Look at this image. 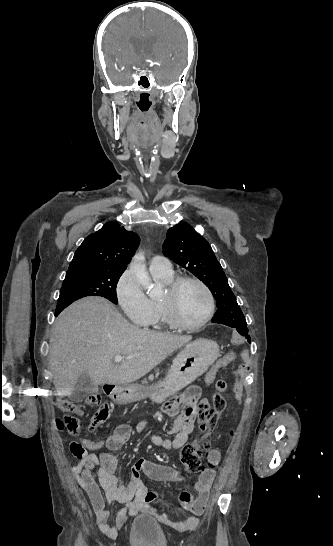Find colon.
Instances as JSON below:
<instances>
[{
  "instance_id": "obj_1",
  "label": "colon",
  "mask_w": 333,
  "mask_h": 546,
  "mask_svg": "<svg viewBox=\"0 0 333 546\" xmlns=\"http://www.w3.org/2000/svg\"><path fill=\"white\" fill-rule=\"evenodd\" d=\"M215 386L218 393L212 397L211 404H208L204 399H198L196 402L200 429L198 438L184 445L181 449V461L184 464L186 471L190 474H195L202 470L203 464L200 457L209 450L211 433L221 412L226 407V401L221 395V393L227 389L226 382L223 379H219L216 381ZM232 387L235 389L236 397L242 398L245 394L243 382L240 379H235L232 382ZM86 402L90 406H99V409L93 415L87 428L88 431L92 432L106 422L110 415L111 408L108 403L101 401V397L97 393L88 395ZM57 403L59 409L67 413L63 417L56 419L57 428L59 430H66L74 436L80 435V421L74 415H79L81 413L79 406L68 398L58 399ZM210 466L213 467L212 464H210ZM192 500V494L187 491L182 492L179 496V501L183 506L190 505Z\"/></svg>"
}]
</instances>
